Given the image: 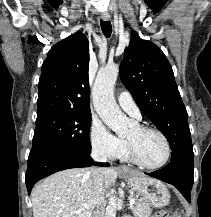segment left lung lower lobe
Masks as SVG:
<instances>
[{"mask_svg":"<svg viewBox=\"0 0 211 217\" xmlns=\"http://www.w3.org/2000/svg\"><path fill=\"white\" fill-rule=\"evenodd\" d=\"M146 174L172 184L190 203V193L194 180L193 162L171 161L164 168Z\"/></svg>","mask_w":211,"mask_h":217,"instance_id":"left-lung-lower-lobe-1","label":"left lung lower lobe"}]
</instances>
